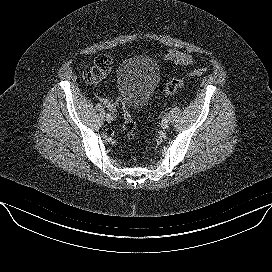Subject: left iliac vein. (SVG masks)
<instances>
[{
	"label": "left iliac vein",
	"mask_w": 272,
	"mask_h": 272,
	"mask_svg": "<svg viewBox=\"0 0 272 272\" xmlns=\"http://www.w3.org/2000/svg\"><path fill=\"white\" fill-rule=\"evenodd\" d=\"M169 121L168 120H162L161 122V128L162 129H168L169 128Z\"/></svg>",
	"instance_id": "4c4485c4"
}]
</instances>
